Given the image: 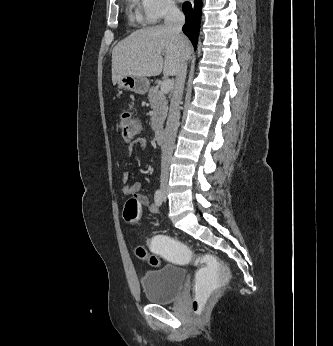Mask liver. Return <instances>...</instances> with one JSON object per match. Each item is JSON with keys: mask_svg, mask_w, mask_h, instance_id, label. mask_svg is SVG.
I'll return each instance as SVG.
<instances>
[{"mask_svg": "<svg viewBox=\"0 0 333 346\" xmlns=\"http://www.w3.org/2000/svg\"><path fill=\"white\" fill-rule=\"evenodd\" d=\"M191 53L189 40L185 37L182 50L179 37L164 25L140 29L114 47L112 83L127 75L151 77L163 72L174 76L182 57L188 59Z\"/></svg>", "mask_w": 333, "mask_h": 346, "instance_id": "1", "label": "liver"}]
</instances>
